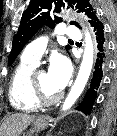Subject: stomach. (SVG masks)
I'll use <instances>...</instances> for the list:
<instances>
[{"label":"stomach","instance_id":"1","mask_svg":"<svg viewBox=\"0 0 117 136\" xmlns=\"http://www.w3.org/2000/svg\"><path fill=\"white\" fill-rule=\"evenodd\" d=\"M48 126V117L40 116L33 121L32 129L30 132L23 133L22 136H31L34 131H40L46 129Z\"/></svg>","mask_w":117,"mask_h":136}]
</instances>
